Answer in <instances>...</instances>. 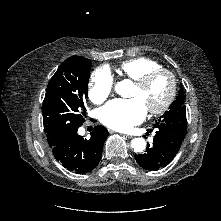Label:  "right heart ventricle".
<instances>
[{"instance_id":"1","label":"right heart ventricle","mask_w":221,"mask_h":221,"mask_svg":"<svg viewBox=\"0 0 221 221\" xmlns=\"http://www.w3.org/2000/svg\"><path fill=\"white\" fill-rule=\"evenodd\" d=\"M160 67L161 65L151 58L137 57L122 62L119 71L124 77L136 81L143 75Z\"/></svg>"}]
</instances>
